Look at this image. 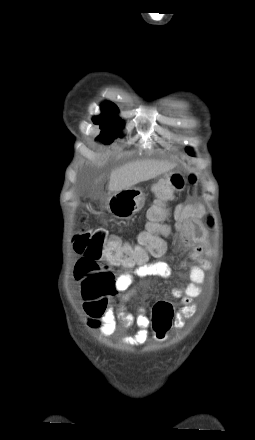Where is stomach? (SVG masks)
<instances>
[{
    "label": "stomach",
    "mask_w": 255,
    "mask_h": 440,
    "mask_svg": "<svg viewBox=\"0 0 255 440\" xmlns=\"http://www.w3.org/2000/svg\"><path fill=\"white\" fill-rule=\"evenodd\" d=\"M145 204V194L141 189L131 187L114 192L107 198L106 209L116 219L130 220Z\"/></svg>",
    "instance_id": "stomach-1"
}]
</instances>
